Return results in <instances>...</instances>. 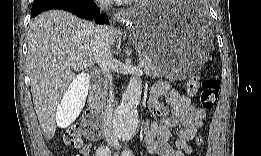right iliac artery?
Returning <instances> with one entry per match:
<instances>
[{
	"label": "right iliac artery",
	"instance_id": "obj_1",
	"mask_svg": "<svg viewBox=\"0 0 261 156\" xmlns=\"http://www.w3.org/2000/svg\"><path fill=\"white\" fill-rule=\"evenodd\" d=\"M97 156H109L110 149L107 146H100L96 151Z\"/></svg>",
	"mask_w": 261,
	"mask_h": 156
}]
</instances>
